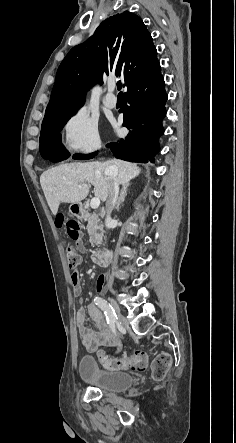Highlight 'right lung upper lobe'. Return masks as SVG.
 <instances>
[{"instance_id": "1", "label": "right lung upper lobe", "mask_w": 236, "mask_h": 443, "mask_svg": "<svg viewBox=\"0 0 236 443\" xmlns=\"http://www.w3.org/2000/svg\"><path fill=\"white\" fill-rule=\"evenodd\" d=\"M157 61V50L141 18L128 11L109 17L62 61L44 119L79 109L86 92L102 83L103 76H121L127 85Z\"/></svg>"}]
</instances>
